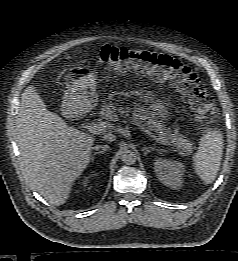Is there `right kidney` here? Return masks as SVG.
<instances>
[{"instance_id":"ca27d5eb","label":"right kidney","mask_w":238,"mask_h":261,"mask_svg":"<svg viewBox=\"0 0 238 261\" xmlns=\"http://www.w3.org/2000/svg\"><path fill=\"white\" fill-rule=\"evenodd\" d=\"M88 181H89V177H86L83 184L86 185L88 183Z\"/></svg>"}]
</instances>
